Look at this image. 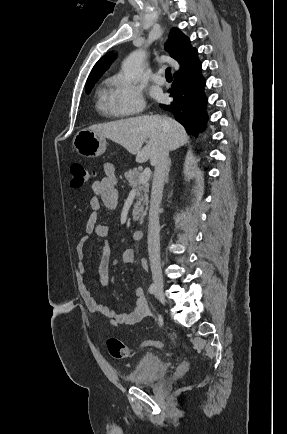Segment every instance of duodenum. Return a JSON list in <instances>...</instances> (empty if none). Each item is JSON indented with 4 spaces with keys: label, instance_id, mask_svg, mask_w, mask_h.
Returning <instances> with one entry per match:
<instances>
[{
    "label": "duodenum",
    "instance_id": "1",
    "mask_svg": "<svg viewBox=\"0 0 287 434\" xmlns=\"http://www.w3.org/2000/svg\"><path fill=\"white\" fill-rule=\"evenodd\" d=\"M133 240L138 241L143 237V229H137L133 233Z\"/></svg>",
    "mask_w": 287,
    "mask_h": 434
}]
</instances>
